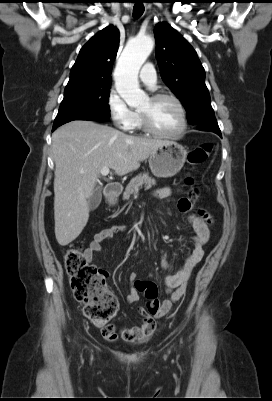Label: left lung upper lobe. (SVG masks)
Instances as JSON below:
<instances>
[{"label":"left lung upper lobe","mask_w":272,"mask_h":401,"mask_svg":"<svg viewBox=\"0 0 272 401\" xmlns=\"http://www.w3.org/2000/svg\"><path fill=\"white\" fill-rule=\"evenodd\" d=\"M154 34L162 80L182 102L188 122L199 125L216 121L205 84V71L196 51L167 23H158Z\"/></svg>","instance_id":"obj_1"}]
</instances>
